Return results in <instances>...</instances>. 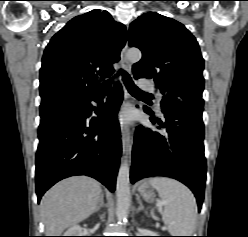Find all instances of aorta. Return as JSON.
<instances>
[{
  "label": "aorta",
  "instance_id": "aorta-1",
  "mask_svg": "<svg viewBox=\"0 0 248 237\" xmlns=\"http://www.w3.org/2000/svg\"><path fill=\"white\" fill-rule=\"evenodd\" d=\"M127 59L131 62H138L141 57V51L138 49H130L127 52ZM129 164L125 160L121 163L119 172L117 175L116 183V196H117V208L116 215L120 222L127 218L128 210L131 202V193L129 185Z\"/></svg>",
  "mask_w": 248,
  "mask_h": 237
}]
</instances>
